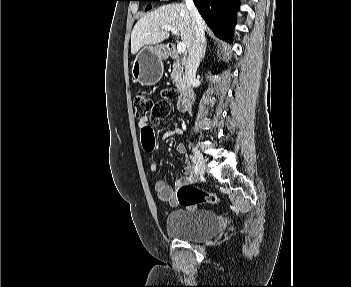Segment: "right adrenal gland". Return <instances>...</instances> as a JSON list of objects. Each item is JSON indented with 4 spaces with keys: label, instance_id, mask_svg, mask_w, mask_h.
Wrapping results in <instances>:
<instances>
[{
    "label": "right adrenal gland",
    "instance_id": "1",
    "mask_svg": "<svg viewBox=\"0 0 351 287\" xmlns=\"http://www.w3.org/2000/svg\"><path fill=\"white\" fill-rule=\"evenodd\" d=\"M206 46H207V43H205V45H204L203 52H202V56H201V61H202V60L204 59V57H205Z\"/></svg>",
    "mask_w": 351,
    "mask_h": 287
}]
</instances>
